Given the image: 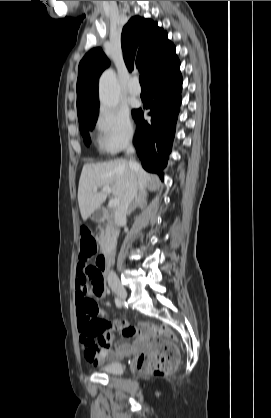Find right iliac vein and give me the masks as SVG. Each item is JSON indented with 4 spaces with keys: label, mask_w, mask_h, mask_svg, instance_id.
Returning <instances> with one entry per match:
<instances>
[{
    "label": "right iliac vein",
    "mask_w": 271,
    "mask_h": 418,
    "mask_svg": "<svg viewBox=\"0 0 271 418\" xmlns=\"http://www.w3.org/2000/svg\"><path fill=\"white\" fill-rule=\"evenodd\" d=\"M113 291H114V293L121 299V300H123V301H125L126 300V298H127V292H126V290H125V288L123 287V286H121V285H115V286H113Z\"/></svg>",
    "instance_id": "obj_1"
}]
</instances>
